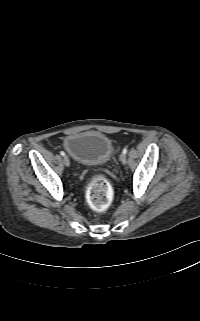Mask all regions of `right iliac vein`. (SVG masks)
Here are the masks:
<instances>
[{"label":"right iliac vein","mask_w":200,"mask_h":321,"mask_svg":"<svg viewBox=\"0 0 200 321\" xmlns=\"http://www.w3.org/2000/svg\"><path fill=\"white\" fill-rule=\"evenodd\" d=\"M63 162H64V164H65L66 166H69V165H70V160H69V158H68L67 156H64Z\"/></svg>","instance_id":"right-iliac-vein-1"}]
</instances>
